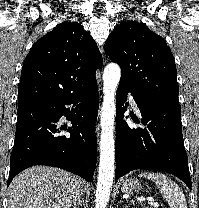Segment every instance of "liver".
Wrapping results in <instances>:
<instances>
[{
  "label": "liver",
  "mask_w": 199,
  "mask_h": 208,
  "mask_svg": "<svg viewBox=\"0 0 199 208\" xmlns=\"http://www.w3.org/2000/svg\"><path fill=\"white\" fill-rule=\"evenodd\" d=\"M87 183L62 169L33 166L17 175L9 186L8 208H70Z\"/></svg>",
  "instance_id": "1"
}]
</instances>
